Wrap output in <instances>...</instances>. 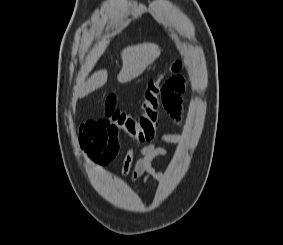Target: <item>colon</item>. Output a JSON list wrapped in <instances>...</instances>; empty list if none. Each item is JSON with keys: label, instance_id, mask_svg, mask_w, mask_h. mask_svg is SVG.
I'll return each instance as SVG.
<instances>
[{"label": "colon", "instance_id": "obj_1", "mask_svg": "<svg viewBox=\"0 0 283 245\" xmlns=\"http://www.w3.org/2000/svg\"><path fill=\"white\" fill-rule=\"evenodd\" d=\"M182 63L172 60L167 70L156 79L148 82L144 91L142 113L139 117L121 111L116 107V97L110 95L104 104V120L109 122L119 133H124L137 142L153 140L158 133V116L162 107V84L166 73L180 71Z\"/></svg>", "mask_w": 283, "mask_h": 245}]
</instances>
